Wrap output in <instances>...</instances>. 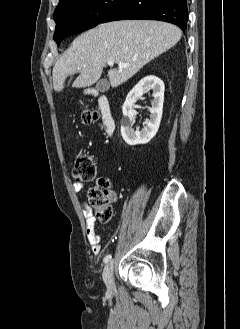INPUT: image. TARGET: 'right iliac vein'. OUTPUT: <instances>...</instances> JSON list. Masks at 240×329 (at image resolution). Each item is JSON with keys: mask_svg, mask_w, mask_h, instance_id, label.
Masks as SVG:
<instances>
[{"mask_svg": "<svg viewBox=\"0 0 240 329\" xmlns=\"http://www.w3.org/2000/svg\"><path fill=\"white\" fill-rule=\"evenodd\" d=\"M103 280L108 290L114 289V278H113V262L106 264L103 271Z\"/></svg>", "mask_w": 240, "mask_h": 329, "instance_id": "obj_1", "label": "right iliac vein"}]
</instances>
